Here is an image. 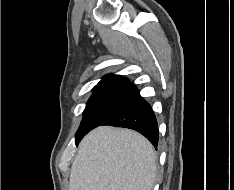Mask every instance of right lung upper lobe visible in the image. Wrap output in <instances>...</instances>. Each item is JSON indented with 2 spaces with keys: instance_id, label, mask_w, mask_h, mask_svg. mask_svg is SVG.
Listing matches in <instances>:
<instances>
[{
  "instance_id": "right-lung-upper-lobe-1",
  "label": "right lung upper lobe",
  "mask_w": 234,
  "mask_h": 190,
  "mask_svg": "<svg viewBox=\"0 0 234 190\" xmlns=\"http://www.w3.org/2000/svg\"><path fill=\"white\" fill-rule=\"evenodd\" d=\"M122 80H128L125 77H122L120 75H106L103 77V79L95 86H101V85H106L109 83H113V82H118V81H122Z\"/></svg>"
}]
</instances>
